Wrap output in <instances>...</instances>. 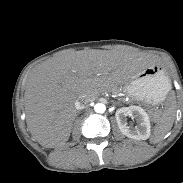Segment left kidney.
Instances as JSON below:
<instances>
[{
	"instance_id": "5707ae66",
	"label": "left kidney",
	"mask_w": 183,
	"mask_h": 183,
	"mask_svg": "<svg viewBox=\"0 0 183 183\" xmlns=\"http://www.w3.org/2000/svg\"><path fill=\"white\" fill-rule=\"evenodd\" d=\"M127 116L136 120L137 125L135 127L128 124ZM115 118L120 131L125 136L136 140H146L150 137V119L143 108L134 105L121 107L117 109Z\"/></svg>"
}]
</instances>
